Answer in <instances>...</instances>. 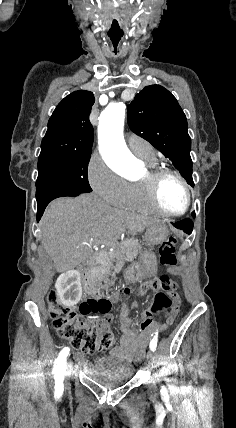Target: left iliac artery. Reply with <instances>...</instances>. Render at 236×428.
Masks as SVG:
<instances>
[{"label": "left iliac artery", "instance_id": "obj_1", "mask_svg": "<svg viewBox=\"0 0 236 428\" xmlns=\"http://www.w3.org/2000/svg\"><path fill=\"white\" fill-rule=\"evenodd\" d=\"M155 334H156V336H154L153 339L150 342V349L153 352L156 350L158 332H156Z\"/></svg>", "mask_w": 236, "mask_h": 428}]
</instances>
